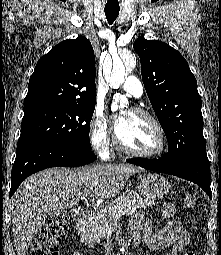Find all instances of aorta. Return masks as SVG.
<instances>
[{
	"label": "aorta",
	"instance_id": "1",
	"mask_svg": "<svg viewBox=\"0 0 221 255\" xmlns=\"http://www.w3.org/2000/svg\"><path fill=\"white\" fill-rule=\"evenodd\" d=\"M136 66V57L131 52L124 53L121 57L116 56L113 58V65L110 68L106 66L104 75L110 87L117 89L122 85L127 77L128 71ZM114 102L111 105L112 110H117L127 105L128 101L124 95L116 94Z\"/></svg>",
	"mask_w": 221,
	"mask_h": 255
}]
</instances>
